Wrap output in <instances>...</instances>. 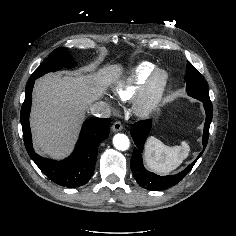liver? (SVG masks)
<instances>
[{
	"label": "liver",
	"mask_w": 236,
	"mask_h": 236,
	"mask_svg": "<svg viewBox=\"0 0 236 236\" xmlns=\"http://www.w3.org/2000/svg\"><path fill=\"white\" fill-rule=\"evenodd\" d=\"M120 73L118 66H109L89 74H48L38 79L30 116L35 148L52 158L67 156L85 113Z\"/></svg>",
	"instance_id": "liver-1"
}]
</instances>
